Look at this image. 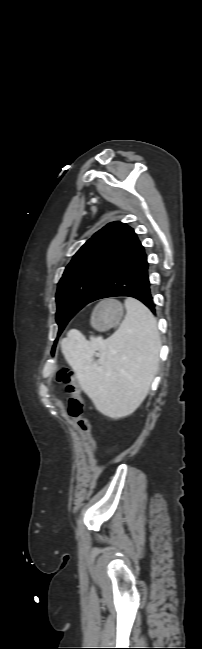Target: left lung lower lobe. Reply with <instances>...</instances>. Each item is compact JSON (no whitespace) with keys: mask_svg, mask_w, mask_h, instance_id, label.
<instances>
[{"mask_svg":"<svg viewBox=\"0 0 202 649\" xmlns=\"http://www.w3.org/2000/svg\"><path fill=\"white\" fill-rule=\"evenodd\" d=\"M148 270L147 255L144 247L137 239L120 263L101 284L92 301L107 297L129 296L140 300L155 314L156 310L150 292Z\"/></svg>","mask_w":202,"mask_h":649,"instance_id":"obj_1","label":"left lung lower lobe"}]
</instances>
